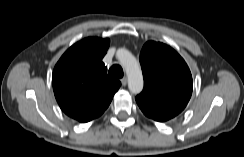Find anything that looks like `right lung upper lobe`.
Masks as SVG:
<instances>
[{
    "label": "right lung upper lobe",
    "instance_id": "obj_1",
    "mask_svg": "<svg viewBox=\"0 0 244 157\" xmlns=\"http://www.w3.org/2000/svg\"><path fill=\"white\" fill-rule=\"evenodd\" d=\"M108 47L109 39L85 38L72 45L54 68L56 100L65 114L79 122L102 115L121 86L107 75L102 62Z\"/></svg>",
    "mask_w": 244,
    "mask_h": 157
}]
</instances>
